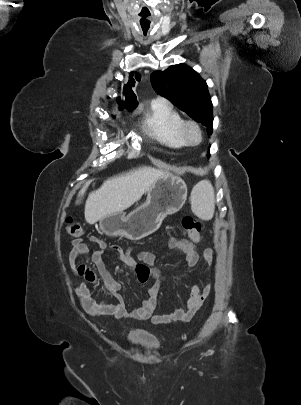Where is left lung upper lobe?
<instances>
[{"instance_id": "obj_1", "label": "left lung upper lobe", "mask_w": 301, "mask_h": 405, "mask_svg": "<svg viewBox=\"0 0 301 405\" xmlns=\"http://www.w3.org/2000/svg\"><path fill=\"white\" fill-rule=\"evenodd\" d=\"M154 90L169 99L212 134L213 111L206 82L185 64L173 65L151 75Z\"/></svg>"}]
</instances>
